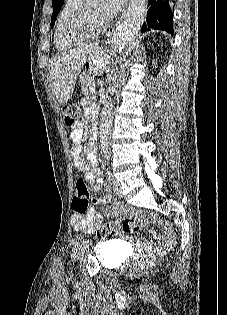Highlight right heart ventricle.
Here are the masks:
<instances>
[{
  "label": "right heart ventricle",
  "mask_w": 227,
  "mask_h": 315,
  "mask_svg": "<svg viewBox=\"0 0 227 315\" xmlns=\"http://www.w3.org/2000/svg\"><path fill=\"white\" fill-rule=\"evenodd\" d=\"M79 2L80 0H65L59 12L57 22H56V27H55L54 42H55L56 48L60 51L70 49L71 47L76 45V44L68 43L64 39L62 30H63V25L66 18Z\"/></svg>",
  "instance_id": "right-heart-ventricle-1"
}]
</instances>
